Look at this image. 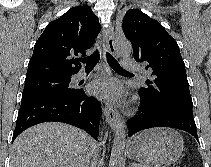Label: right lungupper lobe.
Returning <instances> with one entry per match:
<instances>
[{
    "instance_id": "obj_1",
    "label": "right lung upper lobe",
    "mask_w": 211,
    "mask_h": 167,
    "mask_svg": "<svg viewBox=\"0 0 211 167\" xmlns=\"http://www.w3.org/2000/svg\"><path fill=\"white\" fill-rule=\"evenodd\" d=\"M100 31L98 18L87 5L73 7L50 22L34 46L25 81L50 77L72 76Z\"/></svg>"
}]
</instances>
